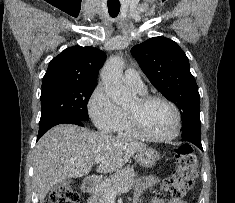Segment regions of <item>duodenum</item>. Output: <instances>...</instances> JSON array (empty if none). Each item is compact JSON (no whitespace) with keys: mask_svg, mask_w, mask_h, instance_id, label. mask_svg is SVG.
Here are the masks:
<instances>
[{"mask_svg":"<svg viewBox=\"0 0 235 203\" xmlns=\"http://www.w3.org/2000/svg\"><path fill=\"white\" fill-rule=\"evenodd\" d=\"M97 185V179L95 177H87L82 184V192L84 194L91 193ZM136 203V201H134Z\"/></svg>","mask_w":235,"mask_h":203,"instance_id":"duodenum-1","label":"duodenum"}]
</instances>
